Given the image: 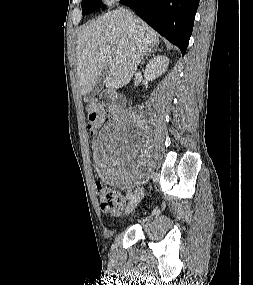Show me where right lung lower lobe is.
Returning a JSON list of instances; mask_svg holds the SVG:
<instances>
[{
    "label": "right lung lower lobe",
    "instance_id": "obj_1",
    "mask_svg": "<svg viewBox=\"0 0 253 285\" xmlns=\"http://www.w3.org/2000/svg\"><path fill=\"white\" fill-rule=\"evenodd\" d=\"M185 54L199 0H121Z\"/></svg>",
    "mask_w": 253,
    "mask_h": 285
}]
</instances>
